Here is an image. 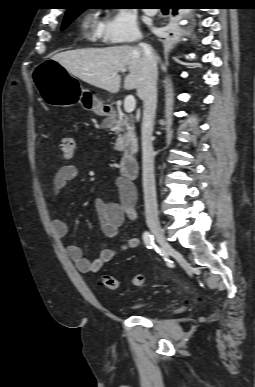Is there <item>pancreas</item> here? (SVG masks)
<instances>
[{"label": "pancreas", "mask_w": 255, "mask_h": 387, "mask_svg": "<svg viewBox=\"0 0 255 387\" xmlns=\"http://www.w3.org/2000/svg\"><path fill=\"white\" fill-rule=\"evenodd\" d=\"M104 124L111 127L118 134L114 147L115 150L124 152L125 155H132L137 152L138 142L132 118L121 115L118 117H109L104 121Z\"/></svg>", "instance_id": "1"}]
</instances>
